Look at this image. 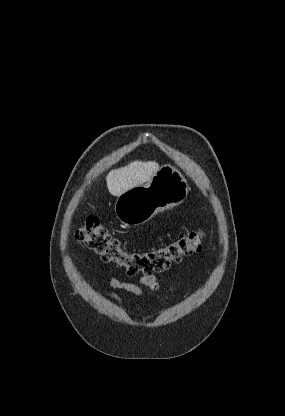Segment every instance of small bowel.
<instances>
[{"instance_id": "small-bowel-1", "label": "small bowel", "mask_w": 285, "mask_h": 416, "mask_svg": "<svg viewBox=\"0 0 285 416\" xmlns=\"http://www.w3.org/2000/svg\"><path fill=\"white\" fill-rule=\"evenodd\" d=\"M108 284L112 288H118L126 290L136 296H143L144 295V288H147L151 293L158 296L159 293V283L157 282L154 276H143L139 280V284H133L128 281L119 280L115 277H111L108 280ZM171 289L173 290L174 287L172 286ZM101 297H105L111 299L117 303H121V298L111 292L109 289H105L103 292L100 293Z\"/></svg>"}]
</instances>
